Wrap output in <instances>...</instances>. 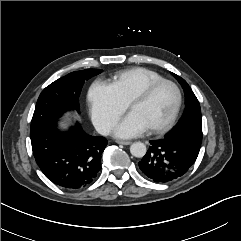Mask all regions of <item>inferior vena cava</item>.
Wrapping results in <instances>:
<instances>
[{
  "label": "inferior vena cava",
  "mask_w": 241,
  "mask_h": 241,
  "mask_svg": "<svg viewBox=\"0 0 241 241\" xmlns=\"http://www.w3.org/2000/svg\"><path fill=\"white\" fill-rule=\"evenodd\" d=\"M97 131L102 135H108L110 132V127L102 126V127L98 128Z\"/></svg>",
  "instance_id": "602c4592"
}]
</instances>
